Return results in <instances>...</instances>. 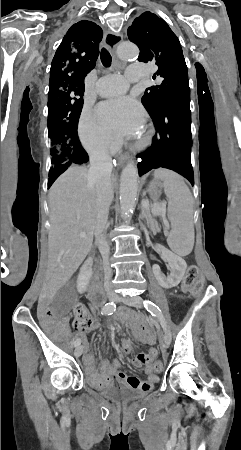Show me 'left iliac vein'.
<instances>
[{
  "instance_id": "obj_1",
  "label": "left iliac vein",
  "mask_w": 241,
  "mask_h": 450,
  "mask_svg": "<svg viewBox=\"0 0 241 450\" xmlns=\"http://www.w3.org/2000/svg\"><path fill=\"white\" fill-rule=\"evenodd\" d=\"M116 301H123L124 303L134 306L136 308H141L143 306L142 303V298L139 296L136 297H122V296H118L116 298ZM161 344L163 347H166L170 344L171 342V333L168 329L165 330V334L164 336L161 338Z\"/></svg>"
}]
</instances>
